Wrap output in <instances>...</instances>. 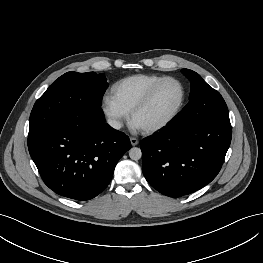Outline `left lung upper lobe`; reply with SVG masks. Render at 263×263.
Returning <instances> with one entry per match:
<instances>
[{
	"label": "left lung upper lobe",
	"instance_id": "5c2ea615",
	"mask_svg": "<svg viewBox=\"0 0 263 263\" xmlns=\"http://www.w3.org/2000/svg\"><path fill=\"white\" fill-rule=\"evenodd\" d=\"M182 72L190 80V101L173 119L180 130L190 129L197 124L219 117H229L228 108L220 93L209 86L199 74L189 69Z\"/></svg>",
	"mask_w": 263,
	"mask_h": 263
}]
</instances>
